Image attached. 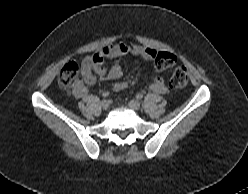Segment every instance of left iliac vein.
<instances>
[{
  "mask_svg": "<svg viewBox=\"0 0 248 194\" xmlns=\"http://www.w3.org/2000/svg\"><path fill=\"white\" fill-rule=\"evenodd\" d=\"M129 107L132 108L133 110H139L141 108V104L137 100H130L128 103Z\"/></svg>",
  "mask_w": 248,
  "mask_h": 194,
  "instance_id": "4c4485c4",
  "label": "left iliac vein"
}]
</instances>
